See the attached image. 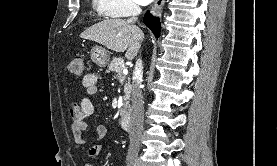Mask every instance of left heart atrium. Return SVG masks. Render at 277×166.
Instances as JSON below:
<instances>
[{
    "mask_svg": "<svg viewBox=\"0 0 277 166\" xmlns=\"http://www.w3.org/2000/svg\"><path fill=\"white\" fill-rule=\"evenodd\" d=\"M135 1L140 5H147L150 2H152L153 0H135Z\"/></svg>",
    "mask_w": 277,
    "mask_h": 166,
    "instance_id": "obj_1",
    "label": "left heart atrium"
}]
</instances>
